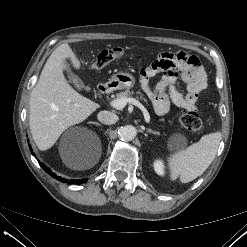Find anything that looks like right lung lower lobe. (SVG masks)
<instances>
[{
	"label": "right lung lower lobe",
	"mask_w": 247,
	"mask_h": 247,
	"mask_svg": "<svg viewBox=\"0 0 247 247\" xmlns=\"http://www.w3.org/2000/svg\"><path fill=\"white\" fill-rule=\"evenodd\" d=\"M30 150H32L31 147H30ZM32 154L35 156L34 153H32ZM39 164H40V166H41L48 174H50L53 178L58 179V180L62 181L63 183H64V182H68V180H65L64 178L59 177V176H57L56 174H54V173H53L47 166H45L43 163H40V162H39ZM86 181H87V178H84V179H81V180H71L70 183H73V184H80V183H84V182H86Z\"/></svg>",
	"instance_id": "obj_1"
}]
</instances>
